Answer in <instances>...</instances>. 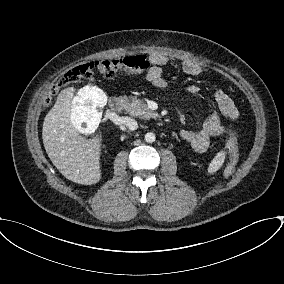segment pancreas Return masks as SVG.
<instances>
[{"label": "pancreas", "instance_id": "1", "mask_svg": "<svg viewBox=\"0 0 284 284\" xmlns=\"http://www.w3.org/2000/svg\"><path fill=\"white\" fill-rule=\"evenodd\" d=\"M120 100L123 103L125 110L134 117L150 119L157 116V113L151 111L147 104L137 97L122 96L120 97Z\"/></svg>", "mask_w": 284, "mask_h": 284}]
</instances>
